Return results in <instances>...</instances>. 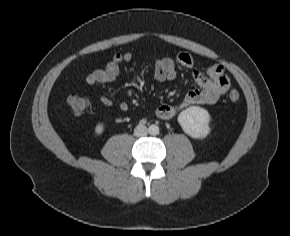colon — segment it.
<instances>
[{
    "label": "colon",
    "mask_w": 290,
    "mask_h": 236,
    "mask_svg": "<svg viewBox=\"0 0 290 236\" xmlns=\"http://www.w3.org/2000/svg\"><path fill=\"white\" fill-rule=\"evenodd\" d=\"M228 98L232 102H237L240 99V93L237 90H232L229 92ZM67 102L75 115L83 114L88 110L91 104L87 97L80 95H70Z\"/></svg>",
    "instance_id": "obj_1"
}]
</instances>
